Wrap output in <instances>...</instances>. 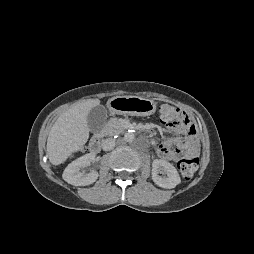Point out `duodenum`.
Listing matches in <instances>:
<instances>
[{
  "instance_id": "obj_1",
  "label": "duodenum",
  "mask_w": 254,
  "mask_h": 254,
  "mask_svg": "<svg viewBox=\"0 0 254 254\" xmlns=\"http://www.w3.org/2000/svg\"><path fill=\"white\" fill-rule=\"evenodd\" d=\"M139 129L143 132H147V133H151L152 130L148 127H145V126H141L139 127ZM100 148H101V141H100V138L99 136H94L92 138V140L90 141V144H89V150L91 153L93 154H96L100 151Z\"/></svg>"
}]
</instances>
